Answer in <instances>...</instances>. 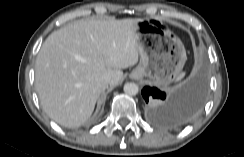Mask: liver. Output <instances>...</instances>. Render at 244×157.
I'll return each instance as SVG.
<instances>
[{
	"instance_id": "liver-1",
	"label": "liver",
	"mask_w": 244,
	"mask_h": 157,
	"mask_svg": "<svg viewBox=\"0 0 244 157\" xmlns=\"http://www.w3.org/2000/svg\"><path fill=\"white\" fill-rule=\"evenodd\" d=\"M140 19L78 20L52 32L35 62V88L47 115L61 126L86 122L108 84L138 62L135 31Z\"/></svg>"
}]
</instances>
